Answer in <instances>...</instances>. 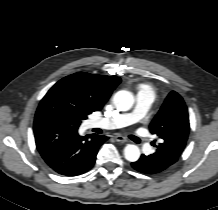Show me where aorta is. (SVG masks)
Here are the masks:
<instances>
[{"label":"aorta","mask_w":218,"mask_h":210,"mask_svg":"<svg viewBox=\"0 0 218 210\" xmlns=\"http://www.w3.org/2000/svg\"><path fill=\"white\" fill-rule=\"evenodd\" d=\"M113 103L118 110L128 111L134 103V98L131 92L121 90L113 96ZM124 157L130 162H135L140 157V149L133 144H129L124 148Z\"/></svg>","instance_id":"1"}]
</instances>
